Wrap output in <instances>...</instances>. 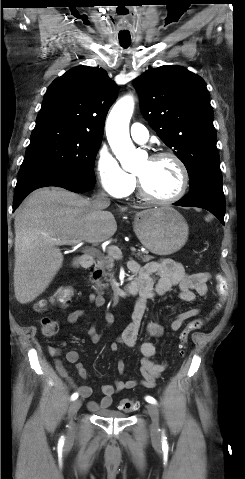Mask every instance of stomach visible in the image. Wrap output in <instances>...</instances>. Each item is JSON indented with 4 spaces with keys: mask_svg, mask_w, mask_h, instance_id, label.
I'll return each instance as SVG.
<instances>
[{
    "mask_svg": "<svg viewBox=\"0 0 245 479\" xmlns=\"http://www.w3.org/2000/svg\"><path fill=\"white\" fill-rule=\"evenodd\" d=\"M134 231L149 251L169 255L186 243L189 227L184 217L171 207L148 208L135 214Z\"/></svg>",
    "mask_w": 245,
    "mask_h": 479,
    "instance_id": "obj_1",
    "label": "stomach"
}]
</instances>
